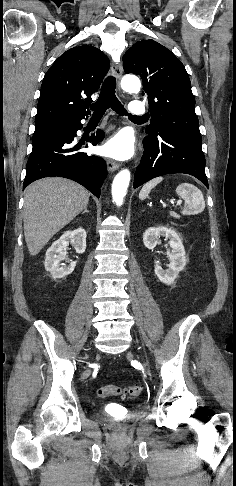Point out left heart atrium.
Returning a JSON list of instances; mask_svg holds the SVG:
<instances>
[{
	"label": "left heart atrium",
	"instance_id": "obj_1",
	"mask_svg": "<svg viewBox=\"0 0 236 486\" xmlns=\"http://www.w3.org/2000/svg\"><path fill=\"white\" fill-rule=\"evenodd\" d=\"M101 151L105 156L125 160L133 155L134 143L129 135L118 133L102 146Z\"/></svg>",
	"mask_w": 236,
	"mask_h": 486
}]
</instances>
